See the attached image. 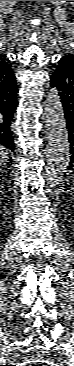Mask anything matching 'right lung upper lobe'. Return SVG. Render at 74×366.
<instances>
[{"instance_id":"obj_1","label":"right lung upper lobe","mask_w":74,"mask_h":366,"mask_svg":"<svg viewBox=\"0 0 74 366\" xmlns=\"http://www.w3.org/2000/svg\"><path fill=\"white\" fill-rule=\"evenodd\" d=\"M14 72L11 69V63L8 58L0 54V82L6 83L13 77Z\"/></svg>"}]
</instances>
